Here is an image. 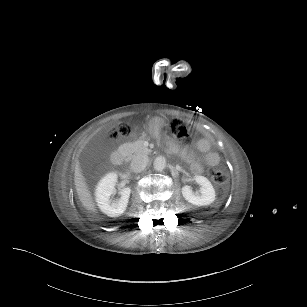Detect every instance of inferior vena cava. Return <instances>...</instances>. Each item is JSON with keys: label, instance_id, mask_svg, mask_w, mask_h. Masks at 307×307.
<instances>
[{"label": "inferior vena cava", "instance_id": "obj_1", "mask_svg": "<svg viewBox=\"0 0 307 307\" xmlns=\"http://www.w3.org/2000/svg\"><path fill=\"white\" fill-rule=\"evenodd\" d=\"M147 165L146 157L137 155L130 163V170L134 173H141Z\"/></svg>", "mask_w": 307, "mask_h": 307}]
</instances>
